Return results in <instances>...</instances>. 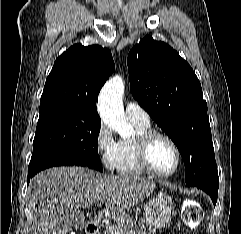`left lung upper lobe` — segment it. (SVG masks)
Segmentation results:
<instances>
[{
	"instance_id": "5c2ea615",
	"label": "left lung upper lobe",
	"mask_w": 241,
	"mask_h": 234,
	"mask_svg": "<svg viewBox=\"0 0 241 234\" xmlns=\"http://www.w3.org/2000/svg\"><path fill=\"white\" fill-rule=\"evenodd\" d=\"M127 64L133 97L179 149L186 185L218 188L207 103L190 65L151 36L132 48Z\"/></svg>"
}]
</instances>
